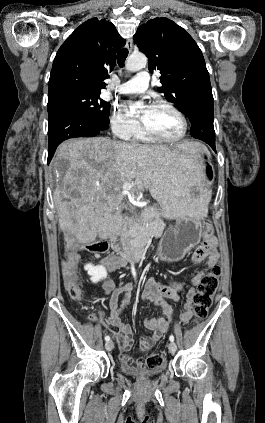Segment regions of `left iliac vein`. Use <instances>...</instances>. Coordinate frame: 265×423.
I'll return each mask as SVG.
<instances>
[{"instance_id":"1","label":"left iliac vein","mask_w":265,"mask_h":423,"mask_svg":"<svg viewBox=\"0 0 265 423\" xmlns=\"http://www.w3.org/2000/svg\"><path fill=\"white\" fill-rule=\"evenodd\" d=\"M168 348H169V351L171 353H175L176 350H177V346H176V344L174 342H170L169 345H168Z\"/></svg>"}]
</instances>
